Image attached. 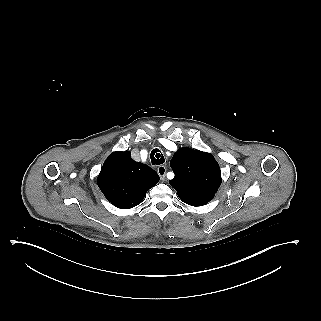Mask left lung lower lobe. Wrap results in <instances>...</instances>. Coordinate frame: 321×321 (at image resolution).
<instances>
[{
    "label": "left lung lower lobe",
    "instance_id": "1",
    "mask_svg": "<svg viewBox=\"0 0 321 321\" xmlns=\"http://www.w3.org/2000/svg\"><path fill=\"white\" fill-rule=\"evenodd\" d=\"M211 199L212 198H195V199H191L186 204L192 205V206H202V205L208 203Z\"/></svg>",
    "mask_w": 321,
    "mask_h": 321
}]
</instances>
